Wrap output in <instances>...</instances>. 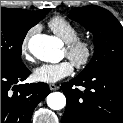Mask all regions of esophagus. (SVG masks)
<instances>
[{"label":"esophagus","instance_id":"obj_1","mask_svg":"<svg viewBox=\"0 0 123 123\" xmlns=\"http://www.w3.org/2000/svg\"><path fill=\"white\" fill-rule=\"evenodd\" d=\"M49 88H50V90L55 91V90H58L59 89V86L56 85V84H50L49 85Z\"/></svg>","mask_w":123,"mask_h":123}]
</instances>
